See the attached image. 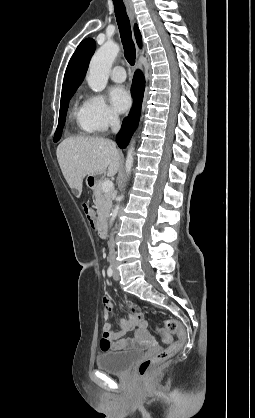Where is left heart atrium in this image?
Instances as JSON below:
<instances>
[{
	"instance_id": "left-heart-atrium-1",
	"label": "left heart atrium",
	"mask_w": 255,
	"mask_h": 418,
	"mask_svg": "<svg viewBox=\"0 0 255 418\" xmlns=\"http://www.w3.org/2000/svg\"><path fill=\"white\" fill-rule=\"evenodd\" d=\"M109 95L111 104L116 111L124 112L130 107L131 98L128 91L123 86L112 87Z\"/></svg>"
}]
</instances>
